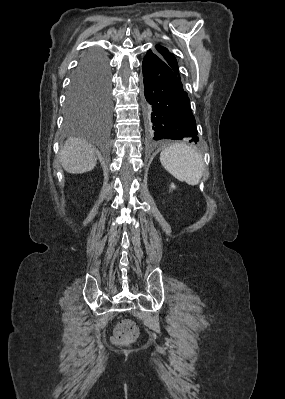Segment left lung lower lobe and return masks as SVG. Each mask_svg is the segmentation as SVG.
<instances>
[{"mask_svg":"<svg viewBox=\"0 0 285 399\" xmlns=\"http://www.w3.org/2000/svg\"><path fill=\"white\" fill-rule=\"evenodd\" d=\"M144 106L151 139L197 143V129L178 70L161 54L148 50L142 63Z\"/></svg>","mask_w":285,"mask_h":399,"instance_id":"obj_1","label":"left lung lower lobe"}]
</instances>
